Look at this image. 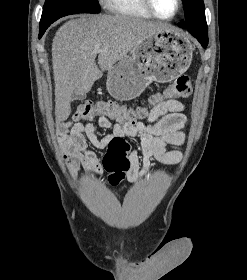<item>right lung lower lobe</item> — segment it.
Masks as SVG:
<instances>
[{"instance_id": "1", "label": "right lung lower lobe", "mask_w": 247, "mask_h": 280, "mask_svg": "<svg viewBox=\"0 0 247 280\" xmlns=\"http://www.w3.org/2000/svg\"><path fill=\"white\" fill-rule=\"evenodd\" d=\"M47 28H48L47 26H46V27H40V30H39V38L42 37V35L44 34V32L46 31Z\"/></svg>"}]
</instances>
